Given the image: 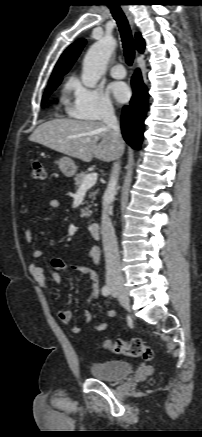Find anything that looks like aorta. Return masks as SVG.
Instances as JSON below:
<instances>
[{"label": "aorta", "mask_w": 202, "mask_h": 437, "mask_svg": "<svg viewBox=\"0 0 202 437\" xmlns=\"http://www.w3.org/2000/svg\"><path fill=\"white\" fill-rule=\"evenodd\" d=\"M116 41L111 36H105L94 43L87 51L82 69V83L88 88H94L104 74L108 61L115 50Z\"/></svg>", "instance_id": "obj_1"}]
</instances>
